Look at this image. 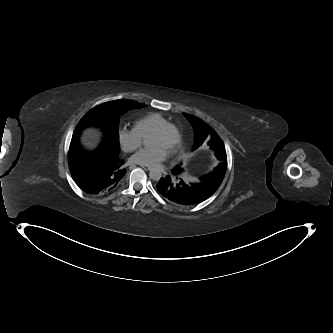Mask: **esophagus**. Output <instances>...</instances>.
I'll return each instance as SVG.
<instances>
[{
  "instance_id": "1",
  "label": "esophagus",
  "mask_w": 333,
  "mask_h": 333,
  "mask_svg": "<svg viewBox=\"0 0 333 333\" xmlns=\"http://www.w3.org/2000/svg\"><path fill=\"white\" fill-rule=\"evenodd\" d=\"M142 166V168L144 169V170H146V171H150V170H152V167H150V166H148V165H141Z\"/></svg>"
}]
</instances>
